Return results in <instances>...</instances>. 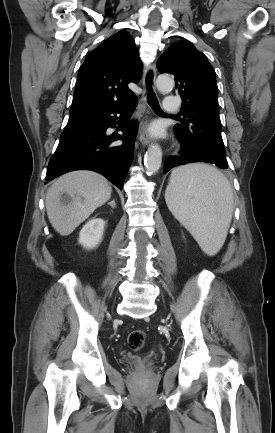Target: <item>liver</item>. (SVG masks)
Instances as JSON below:
<instances>
[{
    "label": "liver",
    "mask_w": 275,
    "mask_h": 433,
    "mask_svg": "<svg viewBox=\"0 0 275 433\" xmlns=\"http://www.w3.org/2000/svg\"><path fill=\"white\" fill-rule=\"evenodd\" d=\"M63 193L69 202L61 200ZM108 181L93 171H73L59 177L46 195V210L52 227L62 236L71 234L96 208L111 198Z\"/></svg>",
    "instance_id": "obj_1"
}]
</instances>
